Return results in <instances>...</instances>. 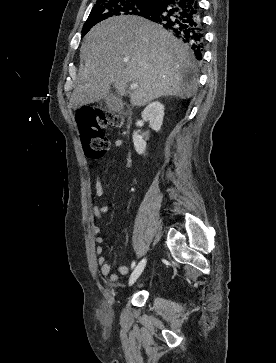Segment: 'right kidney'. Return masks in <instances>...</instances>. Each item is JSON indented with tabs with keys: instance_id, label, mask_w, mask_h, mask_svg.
<instances>
[{
	"instance_id": "1",
	"label": "right kidney",
	"mask_w": 276,
	"mask_h": 363,
	"mask_svg": "<svg viewBox=\"0 0 276 363\" xmlns=\"http://www.w3.org/2000/svg\"><path fill=\"white\" fill-rule=\"evenodd\" d=\"M164 117V105L158 101L152 102L145 107L142 112V118L149 121L151 128L158 132L161 129ZM133 144L138 154H143L146 149V142L138 132H133Z\"/></svg>"
}]
</instances>
